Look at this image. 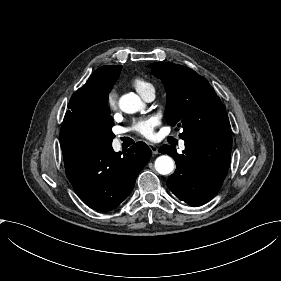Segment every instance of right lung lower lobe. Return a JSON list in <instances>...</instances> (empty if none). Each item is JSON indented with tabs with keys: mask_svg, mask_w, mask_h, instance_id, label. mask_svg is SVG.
Returning <instances> with one entry per match:
<instances>
[{
	"mask_svg": "<svg viewBox=\"0 0 281 281\" xmlns=\"http://www.w3.org/2000/svg\"><path fill=\"white\" fill-rule=\"evenodd\" d=\"M113 125L107 105L85 98L74 113L66 112L60 131L66 175L81 200L98 211L115 209L129 196L152 155L143 142L116 153Z\"/></svg>",
	"mask_w": 281,
	"mask_h": 281,
	"instance_id": "98d812e1",
	"label": "right lung lower lobe"
}]
</instances>
